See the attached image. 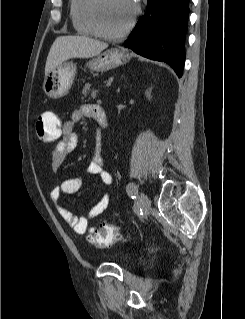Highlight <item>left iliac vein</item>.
Listing matches in <instances>:
<instances>
[{"instance_id":"left-iliac-vein-1","label":"left iliac vein","mask_w":245,"mask_h":319,"mask_svg":"<svg viewBox=\"0 0 245 319\" xmlns=\"http://www.w3.org/2000/svg\"><path fill=\"white\" fill-rule=\"evenodd\" d=\"M139 208L143 212L142 218L148 214V211L150 209V200L143 192H141L139 195Z\"/></svg>"}]
</instances>
